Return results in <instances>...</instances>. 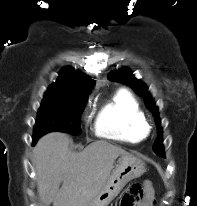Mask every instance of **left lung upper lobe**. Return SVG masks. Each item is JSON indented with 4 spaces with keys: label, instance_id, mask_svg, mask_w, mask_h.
Returning a JSON list of instances; mask_svg holds the SVG:
<instances>
[{
    "label": "left lung upper lobe",
    "instance_id": "left-lung-upper-lobe-1",
    "mask_svg": "<svg viewBox=\"0 0 197 206\" xmlns=\"http://www.w3.org/2000/svg\"><path fill=\"white\" fill-rule=\"evenodd\" d=\"M108 79L112 80V81H118V82H121L123 84H126V85L130 86L131 88H133L135 90V92H137L139 95L145 97V104H146L147 108L153 113L155 121H156V125H157V130H158V132H157L158 137L156 138L153 149L159 156L164 157L163 144H162V140H161L162 130H161V126H160L161 122H160V119L158 116V109L155 105V102L153 101V99L149 95V92L147 91V87L145 86V84H143L141 81L136 79L133 76L132 72L127 68H123V69H120L118 71L111 72L108 75Z\"/></svg>",
    "mask_w": 197,
    "mask_h": 206
}]
</instances>
